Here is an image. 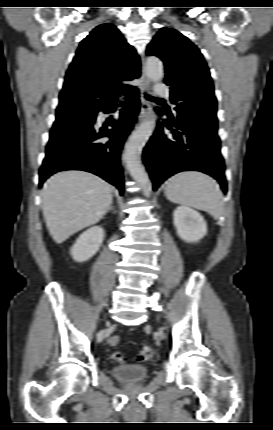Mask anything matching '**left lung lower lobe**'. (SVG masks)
<instances>
[{
    "label": "left lung lower lobe",
    "mask_w": 273,
    "mask_h": 430,
    "mask_svg": "<svg viewBox=\"0 0 273 430\" xmlns=\"http://www.w3.org/2000/svg\"><path fill=\"white\" fill-rule=\"evenodd\" d=\"M164 115L162 109H158ZM157 126L147 143L143 159L153 180V189L170 176L185 170L204 172L221 185L224 193L227 185L224 175L225 165L220 152L217 134V120L213 118L195 119L179 113L170 116ZM166 126L169 131H165Z\"/></svg>",
    "instance_id": "obj_1"
}]
</instances>
